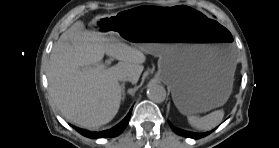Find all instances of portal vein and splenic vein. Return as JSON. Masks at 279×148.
Here are the masks:
<instances>
[{"label":"portal vein and splenic vein","instance_id":"1","mask_svg":"<svg viewBox=\"0 0 279 148\" xmlns=\"http://www.w3.org/2000/svg\"><path fill=\"white\" fill-rule=\"evenodd\" d=\"M105 64H106V66L110 65L111 64V60L110 59L106 60Z\"/></svg>","mask_w":279,"mask_h":148}]
</instances>
